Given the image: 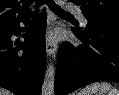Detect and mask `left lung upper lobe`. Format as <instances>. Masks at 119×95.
Here are the masks:
<instances>
[{
	"instance_id": "left-lung-upper-lobe-1",
	"label": "left lung upper lobe",
	"mask_w": 119,
	"mask_h": 95,
	"mask_svg": "<svg viewBox=\"0 0 119 95\" xmlns=\"http://www.w3.org/2000/svg\"><path fill=\"white\" fill-rule=\"evenodd\" d=\"M80 9L88 22L119 27V0H70Z\"/></svg>"
}]
</instances>
